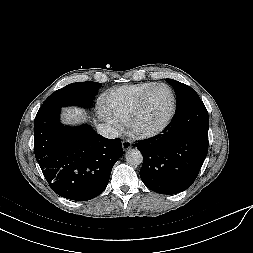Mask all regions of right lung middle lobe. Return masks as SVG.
<instances>
[{"instance_id":"obj_1","label":"right lung middle lobe","mask_w":253,"mask_h":253,"mask_svg":"<svg viewBox=\"0 0 253 253\" xmlns=\"http://www.w3.org/2000/svg\"><path fill=\"white\" fill-rule=\"evenodd\" d=\"M100 87L101 83L91 81L71 83L52 93L42 104L41 108L70 105L91 107L92 100Z\"/></svg>"}]
</instances>
